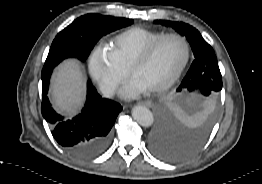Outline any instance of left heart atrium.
Here are the masks:
<instances>
[{"label": "left heart atrium", "instance_id": "obj_1", "mask_svg": "<svg viewBox=\"0 0 262 184\" xmlns=\"http://www.w3.org/2000/svg\"><path fill=\"white\" fill-rule=\"evenodd\" d=\"M147 88L142 85L137 79H133L129 84H127L121 91V95L124 98L135 97L138 94L144 92Z\"/></svg>", "mask_w": 262, "mask_h": 184}]
</instances>
